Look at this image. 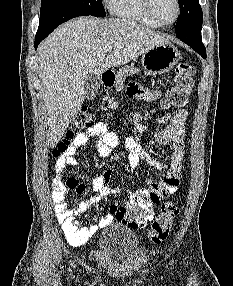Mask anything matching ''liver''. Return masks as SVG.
<instances>
[{
    "label": "liver",
    "mask_w": 233,
    "mask_h": 286,
    "mask_svg": "<svg viewBox=\"0 0 233 286\" xmlns=\"http://www.w3.org/2000/svg\"><path fill=\"white\" fill-rule=\"evenodd\" d=\"M166 42L164 35L126 19L79 17L59 26L38 47L50 147L59 143L84 102L88 74L100 75ZM105 46H112L107 56Z\"/></svg>",
    "instance_id": "1"
}]
</instances>
